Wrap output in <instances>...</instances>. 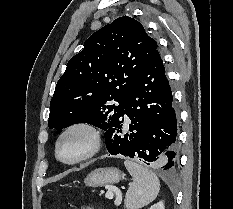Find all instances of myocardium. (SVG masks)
Returning <instances> with one entry per match:
<instances>
[{
	"mask_svg": "<svg viewBox=\"0 0 233 209\" xmlns=\"http://www.w3.org/2000/svg\"><path fill=\"white\" fill-rule=\"evenodd\" d=\"M73 131H83L88 134L90 138V145L88 149L82 153L80 156H78L75 159L72 160H66L60 157L59 155V146L62 141V139L69 133ZM102 145V135L99 128L88 121H77L69 124L66 126L58 135L56 142H55V156L57 160H59L61 163L67 164V165H75L78 163H81L83 161H86L93 157L95 154L98 153Z\"/></svg>",
	"mask_w": 233,
	"mask_h": 209,
	"instance_id": "1",
	"label": "myocardium"
}]
</instances>
